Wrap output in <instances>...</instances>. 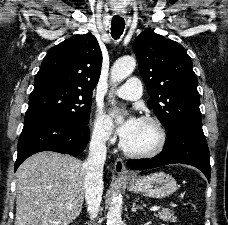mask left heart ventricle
<instances>
[{
  "mask_svg": "<svg viewBox=\"0 0 228 225\" xmlns=\"http://www.w3.org/2000/svg\"><path fill=\"white\" fill-rule=\"evenodd\" d=\"M125 142L132 149L151 150L157 146L159 134L155 126L140 121L135 135L131 139L125 140Z\"/></svg>",
  "mask_w": 228,
  "mask_h": 225,
  "instance_id": "left-heart-ventricle-1",
  "label": "left heart ventricle"
}]
</instances>
